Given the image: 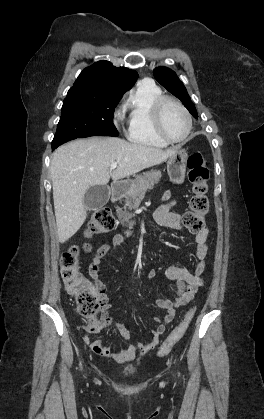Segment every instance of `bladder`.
I'll use <instances>...</instances> for the list:
<instances>
[{
  "label": "bladder",
  "instance_id": "31cf9c89",
  "mask_svg": "<svg viewBox=\"0 0 264 419\" xmlns=\"http://www.w3.org/2000/svg\"><path fill=\"white\" fill-rule=\"evenodd\" d=\"M134 374L133 370H125L121 373L122 376L129 377Z\"/></svg>",
  "mask_w": 264,
  "mask_h": 419
}]
</instances>
